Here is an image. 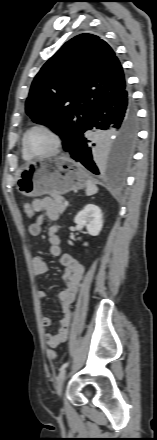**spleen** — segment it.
Instances as JSON below:
<instances>
[{
    "instance_id": "spleen-1",
    "label": "spleen",
    "mask_w": 157,
    "mask_h": 440,
    "mask_svg": "<svg viewBox=\"0 0 157 440\" xmlns=\"http://www.w3.org/2000/svg\"><path fill=\"white\" fill-rule=\"evenodd\" d=\"M98 192V188L95 185V183L91 180H87V184H86V195L87 196H91L94 195Z\"/></svg>"
}]
</instances>
